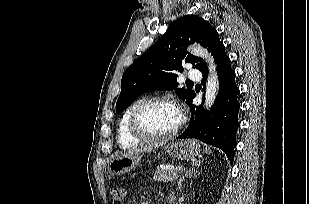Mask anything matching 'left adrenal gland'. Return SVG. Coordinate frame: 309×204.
Masks as SVG:
<instances>
[{
  "label": "left adrenal gland",
  "mask_w": 309,
  "mask_h": 204,
  "mask_svg": "<svg viewBox=\"0 0 309 204\" xmlns=\"http://www.w3.org/2000/svg\"><path fill=\"white\" fill-rule=\"evenodd\" d=\"M195 166H200V161L196 162L194 164ZM195 166L186 170L185 174L179 178L178 182H177V190H180L182 187V183L185 181L186 178H191L193 176H196V170H195Z\"/></svg>",
  "instance_id": "a2214340"
}]
</instances>
